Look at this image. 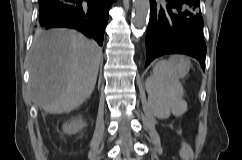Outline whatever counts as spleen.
<instances>
[{
  "label": "spleen",
  "instance_id": "spleen-1",
  "mask_svg": "<svg viewBox=\"0 0 242 160\" xmlns=\"http://www.w3.org/2000/svg\"><path fill=\"white\" fill-rule=\"evenodd\" d=\"M190 61L183 56L175 55L168 61H159L153 68V75L147 80L150 95L157 96V104L161 108H169L174 112L178 102V91L182 90L179 78L183 77L181 65Z\"/></svg>",
  "mask_w": 242,
  "mask_h": 160
}]
</instances>
